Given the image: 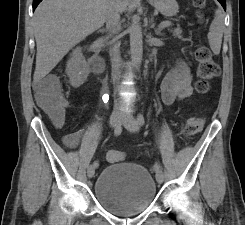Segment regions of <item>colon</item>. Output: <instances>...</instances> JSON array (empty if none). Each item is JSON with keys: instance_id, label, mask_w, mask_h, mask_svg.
Returning <instances> with one entry per match:
<instances>
[{"instance_id": "1", "label": "colon", "mask_w": 245, "mask_h": 225, "mask_svg": "<svg viewBox=\"0 0 245 225\" xmlns=\"http://www.w3.org/2000/svg\"><path fill=\"white\" fill-rule=\"evenodd\" d=\"M194 3L197 8L201 9L204 6L205 0H194ZM195 61L200 76L197 90L200 93H206L211 89V82L218 77L219 67L214 61L210 49L204 45L197 47ZM36 100L39 105L54 115H61L67 108V103L61 93V83L58 79H45L37 89ZM203 125V118L189 117L186 121L184 136H194L202 130Z\"/></svg>"}]
</instances>
